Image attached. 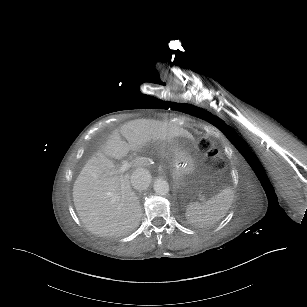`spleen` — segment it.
<instances>
[{"mask_svg": "<svg viewBox=\"0 0 307 307\" xmlns=\"http://www.w3.org/2000/svg\"><path fill=\"white\" fill-rule=\"evenodd\" d=\"M233 198V190L224 188L204 204H189L185 208V215L198 227L212 226L226 215Z\"/></svg>", "mask_w": 307, "mask_h": 307, "instance_id": "3e777b00", "label": "spleen"}]
</instances>
